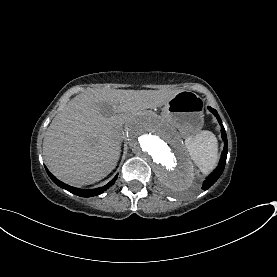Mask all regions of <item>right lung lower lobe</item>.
I'll list each match as a JSON object with an SVG mask.
<instances>
[{
  "label": "right lung lower lobe",
  "instance_id": "right-lung-lower-lobe-1",
  "mask_svg": "<svg viewBox=\"0 0 277 277\" xmlns=\"http://www.w3.org/2000/svg\"><path fill=\"white\" fill-rule=\"evenodd\" d=\"M46 171L49 175V177L52 179V181L57 184L59 187L75 194V195H78V196H81V197H92V196H96V195H99L101 193H103L104 191H106L110 186H112L114 184V182L116 181L117 179V175L108 183L106 184L105 186L103 187H100V188H96V189H90V190H83V189H78V188H75V187H71L67 184H64L63 182L59 181L56 179L55 176H53L49 171L48 169L46 168Z\"/></svg>",
  "mask_w": 277,
  "mask_h": 277
}]
</instances>
